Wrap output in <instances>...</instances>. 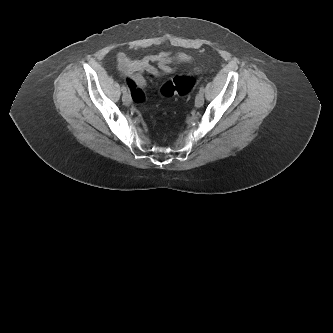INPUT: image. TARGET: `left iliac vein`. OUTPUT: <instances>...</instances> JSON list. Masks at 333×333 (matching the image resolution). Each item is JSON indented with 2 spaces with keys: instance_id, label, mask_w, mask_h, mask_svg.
<instances>
[{
  "instance_id": "obj_1",
  "label": "left iliac vein",
  "mask_w": 333,
  "mask_h": 333,
  "mask_svg": "<svg viewBox=\"0 0 333 333\" xmlns=\"http://www.w3.org/2000/svg\"><path fill=\"white\" fill-rule=\"evenodd\" d=\"M204 103V96L202 93L197 94L195 98V106L196 107H201Z\"/></svg>"
}]
</instances>
